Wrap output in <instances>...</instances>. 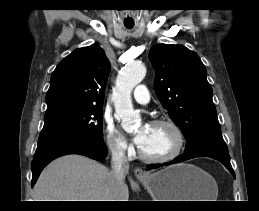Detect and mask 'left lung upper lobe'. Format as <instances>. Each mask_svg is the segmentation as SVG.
<instances>
[{
    "label": "left lung upper lobe",
    "mask_w": 259,
    "mask_h": 211,
    "mask_svg": "<svg viewBox=\"0 0 259 211\" xmlns=\"http://www.w3.org/2000/svg\"><path fill=\"white\" fill-rule=\"evenodd\" d=\"M149 58L156 70V95L186 137L184 153L205 146L227 149L199 56L183 45L159 44Z\"/></svg>",
    "instance_id": "left-lung-upper-lobe-1"
}]
</instances>
